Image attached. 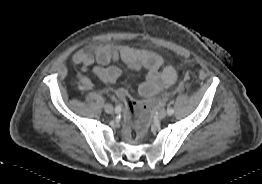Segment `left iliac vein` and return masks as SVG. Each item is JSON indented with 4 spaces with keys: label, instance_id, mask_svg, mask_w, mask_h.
Here are the masks:
<instances>
[{
    "label": "left iliac vein",
    "instance_id": "4c4485c4",
    "mask_svg": "<svg viewBox=\"0 0 262 184\" xmlns=\"http://www.w3.org/2000/svg\"><path fill=\"white\" fill-rule=\"evenodd\" d=\"M167 116V111L162 109L159 114H158V118L159 119H164Z\"/></svg>",
    "mask_w": 262,
    "mask_h": 184
}]
</instances>
